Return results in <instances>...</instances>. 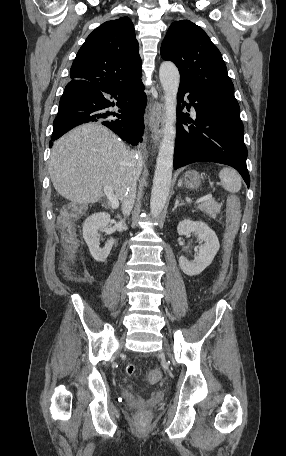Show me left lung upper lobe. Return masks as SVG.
I'll return each instance as SVG.
<instances>
[{
	"instance_id": "1",
	"label": "left lung upper lobe",
	"mask_w": 286,
	"mask_h": 456,
	"mask_svg": "<svg viewBox=\"0 0 286 456\" xmlns=\"http://www.w3.org/2000/svg\"><path fill=\"white\" fill-rule=\"evenodd\" d=\"M161 56L178 67L180 83L239 108L221 53L199 26L189 20L173 22L162 43Z\"/></svg>"
}]
</instances>
